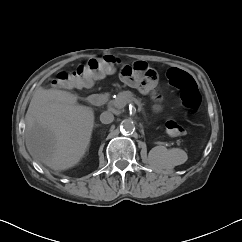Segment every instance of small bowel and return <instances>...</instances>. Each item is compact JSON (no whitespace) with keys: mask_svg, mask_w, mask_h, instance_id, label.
Listing matches in <instances>:
<instances>
[{"mask_svg":"<svg viewBox=\"0 0 242 242\" xmlns=\"http://www.w3.org/2000/svg\"><path fill=\"white\" fill-rule=\"evenodd\" d=\"M140 64H145V62L138 61V62L135 63V66H138V65H140ZM121 77H122V79H123L128 85H130V86H132V87H139V86H140L139 82H137V81H129V80L125 79V78L122 76V74H121ZM143 88H144V89H148V88H146V87H143Z\"/></svg>","mask_w":242,"mask_h":242,"instance_id":"1","label":"small bowel"}]
</instances>
